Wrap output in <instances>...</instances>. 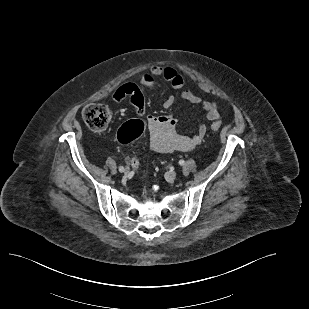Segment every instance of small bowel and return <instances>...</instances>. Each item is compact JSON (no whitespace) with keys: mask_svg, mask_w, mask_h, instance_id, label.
I'll list each match as a JSON object with an SVG mask.
<instances>
[{"mask_svg":"<svg viewBox=\"0 0 309 309\" xmlns=\"http://www.w3.org/2000/svg\"><path fill=\"white\" fill-rule=\"evenodd\" d=\"M159 79H163L176 90L183 88L185 83L182 75L174 68L153 66L139 75L134 81L120 85L113 93V100L115 102H121L129 98L137 114L141 117H146L150 133V145L155 152L172 153L190 151L199 145L205 137L207 132L205 123H201L198 126L197 132L194 135H185L179 132V119L174 113L160 116H146L143 93L147 89H153ZM180 97L185 102L202 106L206 112V121H218L220 114L215 102L203 101L190 91H183ZM173 104L174 97L170 96L165 100L164 107L168 109Z\"/></svg>","mask_w":309,"mask_h":309,"instance_id":"small-bowel-1","label":"small bowel"}]
</instances>
